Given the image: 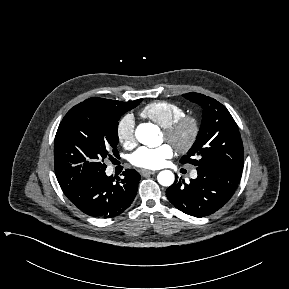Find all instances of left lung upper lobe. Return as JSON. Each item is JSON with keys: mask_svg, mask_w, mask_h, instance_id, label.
<instances>
[{"mask_svg": "<svg viewBox=\"0 0 289 289\" xmlns=\"http://www.w3.org/2000/svg\"><path fill=\"white\" fill-rule=\"evenodd\" d=\"M183 96L203 108L202 123L196 141L180 159L198 167L208 165L243 169L244 150L239 129L224 105L200 93ZM198 158V159H195Z\"/></svg>", "mask_w": 289, "mask_h": 289, "instance_id": "5c2ea615", "label": "left lung upper lobe"}]
</instances>
